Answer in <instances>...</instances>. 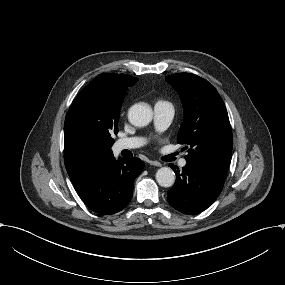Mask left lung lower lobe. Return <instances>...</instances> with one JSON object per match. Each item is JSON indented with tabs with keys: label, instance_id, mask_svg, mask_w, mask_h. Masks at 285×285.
Returning <instances> with one entry per match:
<instances>
[{
	"label": "left lung lower lobe",
	"instance_id": "0a47b994",
	"mask_svg": "<svg viewBox=\"0 0 285 285\" xmlns=\"http://www.w3.org/2000/svg\"><path fill=\"white\" fill-rule=\"evenodd\" d=\"M176 173V182L168 191V202L176 210L185 214H198L207 209L220 195L225 174L187 163L179 174V169L169 165Z\"/></svg>",
	"mask_w": 285,
	"mask_h": 285
}]
</instances>
